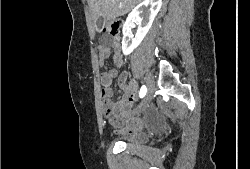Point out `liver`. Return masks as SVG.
Segmentation results:
<instances>
[{
	"label": "liver",
	"instance_id": "obj_1",
	"mask_svg": "<svg viewBox=\"0 0 250 169\" xmlns=\"http://www.w3.org/2000/svg\"><path fill=\"white\" fill-rule=\"evenodd\" d=\"M138 2H141V0H88L95 18L96 16H103L105 20L126 14Z\"/></svg>",
	"mask_w": 250,
	"mask_h": 169
}]
</instances>
